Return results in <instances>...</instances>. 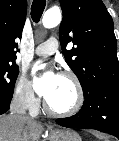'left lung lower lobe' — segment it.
<instances>
[{"mask_svg": "<svg viewBox=\"0 0 119 141\" xmlns=\"http://www.w3.org/2000/svg\"><path fill=\"white\" fill-rule=\"evenodd\" d=\"M84 99L77 114L57 119V124L68 128L95 129L119 139V82L98 86Z\"/></svg>", "mask_w": 119, "mask_h": 141, "instance_id": "left-lung-lower-lobe-1", "label": "left lung lower lobe"}]
</instances>
